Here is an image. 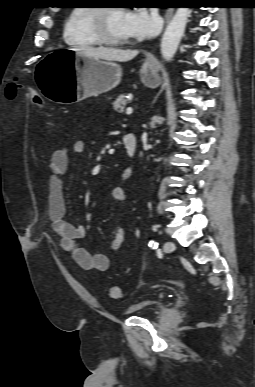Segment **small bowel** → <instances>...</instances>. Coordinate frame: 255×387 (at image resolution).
Segmentation results:
<instances>
[{
    "label": "small bowel",
    "mask_w": 255,
    "mask_h": 387,
    "mask_svg": "<svg viewBox=\"0 0 255 387\" xmlns=\"http://www.w3.org/2000/svg\"><path fill=\"white\" fill-rule=\"evenodd\" d=\"M85 150L83 141H76L72 146L74 154H81ZM70 153L66 148L54 151L49 161L48 184V217L51 227L60 241L63 251L69 253L73 260L84 270L105 271L109 267V257L103 253L91 254L78 244V240L85 235V228L79 224H73L65 219L66 203L62 176L67 172ZM113 200L123 202L125 193L121 187H115L111 191ZM125 241V231L118 228L111 241L112 252L118 251Z\"/></svg>",
    "instance_id": "small-bowel-1"
}]
</instances>
